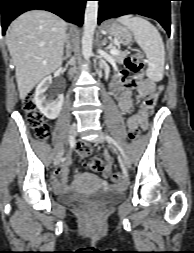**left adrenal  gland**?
I'll return each mask as SVG.
<instances>
[{"label": "left adrenal gland", "mask_w": 194, "mask_h": 253, "mask_svg": "<svg viewBox=\"0 0 194 253\" xmlns=\"http://www.w3.org/2000/svg\"><path fill=\"white\" fill-rule=\"evenodd\" d=\"M106 43H107V39L105 38V39L103 40V42H102V46H105ZM106 50H107V49H106Z\"/></svg>", "instance_id": "a2214340"}]
</instances>
